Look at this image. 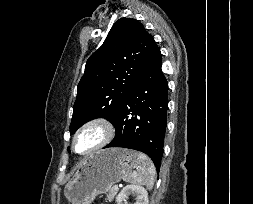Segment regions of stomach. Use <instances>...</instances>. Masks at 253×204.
<instances>
[{
	"label": "stomach",
	"mask_w": 253,
	"mask_h": 204,
	"mask_svg": "<svg viewBox=\"0 0 253 204\" xmlns=\"http://www.w3.org/2000/svg\"><path fill=\"white\" fill-rule=\"evenodd\" d=\"M138 165V153L110 148L87 157L65 185L64 195L71 204H91L97 195L106 193L124 175Z\"/></svg>",
	"instance_id": "0dacf381"
}]
</instances>
